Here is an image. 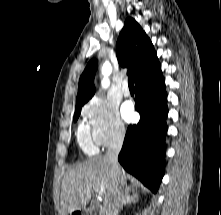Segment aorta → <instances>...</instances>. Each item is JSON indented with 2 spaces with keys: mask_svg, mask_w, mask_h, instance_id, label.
I'll list each match as a JSON object with an SVG mask.
<instances>
[{
  "mask_svg": "<svg viewBox=\"0 0 221 215\" xmlns=\"http://www.w3.org/2000/svg\"><path fill=\"white\" fill-rule=\"evenodd\" d=\"M111 71H112L111 65L108 62L104 63L102 66L103 79L101 81L103 88H107L110 84L108 77L111 74Z\"/></svg>",
  "mask_w": 221,
  "mask_h": 215,
  "instance_id": "762f6f07",
  "label": "aorta"
}]
</instances>
